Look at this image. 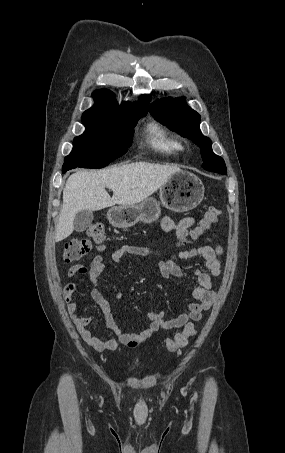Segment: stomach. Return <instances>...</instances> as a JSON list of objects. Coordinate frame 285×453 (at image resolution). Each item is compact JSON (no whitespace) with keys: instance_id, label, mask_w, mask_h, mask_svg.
Returning a JSON list of instances; mask_svg holds the SVG:
<instances>
[{"instance_id":"0dacf381","label":"stomach","mask_w":285,"mask_h":453,"mask_svg":"<svg viewBox=\"0 0 285 453\" xmlns=\"http://www.w3.org/2000/svg\"><path fill=\"white\" fill-rule=\"evenodd\" d=\"M159 196L165 208L178 213L186 212L200 204L204 197V185L195 174L181 170L160 187ZM160 214V204L153 198H146L139 204L111 208L107 218L115 227L128 228L139 221H156Z\"/></svg>"}]
</instances>
